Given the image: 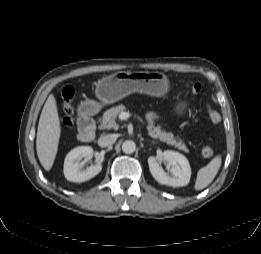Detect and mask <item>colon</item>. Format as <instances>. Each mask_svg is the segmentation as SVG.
Returning <instances> with one entry per match:
<instances>
[{"label":"colon","mask_w":261,"mask_h":254,"mask_svg":"<svg viewBox=\"0 0 261 254\" xmlns=\"http://www.w3.org/2000/svg\"><path fill=\"white\" fill-rule=\"evenodd\" d=\"M192 94L196 95L200 92V85L198 83L188 86ZM74 97V89L67 86L63 89L60 98V114L61 124L64 129H69L72 126V106L71 102ZM206 114L208 119L213 123H219L221 121V115L218 111L213 109L211 106H207ZM214 154V150L211 146H205L202 149V155L206 158L211 157Z\"/></svg>","instance_id":"5ec220e1"}]
</instances>
